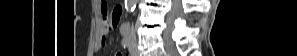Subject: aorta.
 <instances>
[{"label":"aorta","instance_id":"aorta-1","mask_svg":"<svg viewBox=\"0 0 297 56\" xmlns=\"http://www.w3.org/2000/svg\"><path fill=\"white\" fill-rule=\"evenodd\" d=\"M137 0H125V8L127 12H132L135 9Z\"/></svg>","mask_w":297,"mask_h":56}]
</instances>
